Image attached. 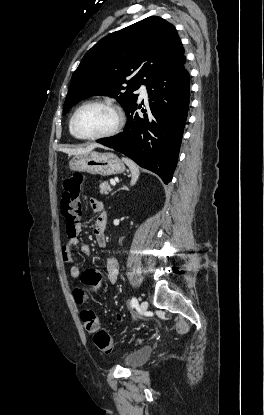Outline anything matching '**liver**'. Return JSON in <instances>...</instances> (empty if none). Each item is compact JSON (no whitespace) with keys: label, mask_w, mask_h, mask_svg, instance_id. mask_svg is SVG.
<instances>
[{"label":"liver","mask_w":264,"mask_h":415,"mask_svg":"<svg viewBox=\"0 0 264 415\" xmlns=\"http://www.w3.org/2000/svg\"><path fill=\"white\" fill-rule=\"evenodd\" d=\"M97 147L103 148V146H101V145L92 144V145H89L87 147H81V148H61L60 151H62L64 153H67L69 155H78V154L91 152L93 149H95Z\"/></svg>","instance_id":"6515ba94"}]
</instances>
